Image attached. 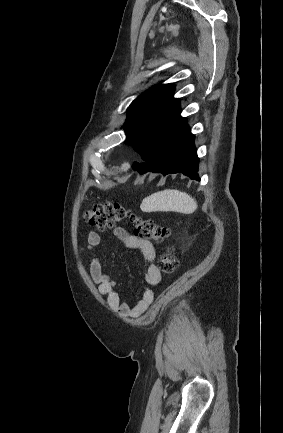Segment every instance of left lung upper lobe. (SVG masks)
I'll use <instances>...</instances> for the list:
<instances>
[{
    "label": "left lung upper lobe",
    "mask_w": 283,
    "mask_h": 433,
    "mask_svg": "<svg viewBox=\"0 0 283 433\" xmlns=\"http://www.w3.org/2000/svg\"><path fill=\"white\" fill-rule=\"evenodd\" d=\"M172 84L159 85L140 95L128 108L124 124L127 140L137 153L156 128L171 127L177 131L186 123L180 116L179 102L172 97Z\"/></svg>",
    "instance_id": "1"
}]
</instances>
